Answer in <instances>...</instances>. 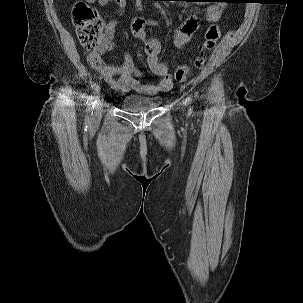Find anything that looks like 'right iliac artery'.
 <instances>
[{"label":"right iliac artery","mask_w":303,"mask_h":303,"mask_svg":"<svg viewBox=\"0 0 303 303\" xmlns=\"http://www.w3.org/2000/svg\"><path fill=\"white\" fill-rule=\"evenodd\" d=\"M99 92H100V87L95 84L94 88H93V95L89 96V98L87 100V108H86V117H85V119H86V122H88V123L92 119L95 102L98 98Z\"/></svg>","instance_id":"1"}]
</instances>
